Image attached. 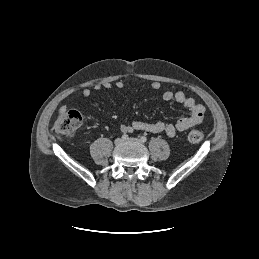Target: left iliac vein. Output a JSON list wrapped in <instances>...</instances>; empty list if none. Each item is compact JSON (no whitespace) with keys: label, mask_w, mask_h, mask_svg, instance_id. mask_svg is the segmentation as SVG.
Instances as JSON below:
<instances>
[{"label":"left iliac vein","mask_w":259,"mask_h":259,"mask_svg":"<svg viewBox=\"0 0 259 259\" xmlns=\"http://www.w3.org/2000/svg\"><path fill=\"white\" fill-rule=\"evenodd\" d=\"M127 142H135V143H140L141 141L137 138H129L127 139Z\"/></svg>","instance_id":"1"}]
</instances>
